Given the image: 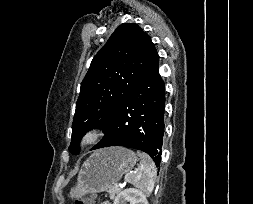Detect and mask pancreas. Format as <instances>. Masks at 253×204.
I'll list each match as a JSON object with an SVG mask.
<instances>
[{
  "label": "pancreas",
  "instance_id": "1",
  "mask_svg": "<svg viewBox=\"0 0 253 204\" xmlns=\"http://www.w3.org/2000/svg\"><path fill=\"white\" fill-rule=\"evenodd\" d=\"M121 188L119 187H115V186H112L109 190H108V193H109V197L110 199H115L116 195H118L120 192H121Z\"/></svg>",
  "mask_w": 253,
  "mask_h": 204
}]
</instances>
